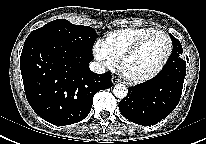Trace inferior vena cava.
I'll use <instances>...</instances> for the list:
<instances>
[{
    "label": "inferior vena cava",
    "mask_w": 206,
    "mask_h": 144,
    "mask_svg": "<svg viewBox=\"0 0 206 144\" xmlns=\"http://www.w3.org/2000/svg\"><path fill=\"white\" fill-rule=\"evenodd\" d=\"M89 67H90V70L94 73H97V74L105 73V67L98 62H91Z\"/></svg>",
    "instance_id": "1"
}]
</instances>
